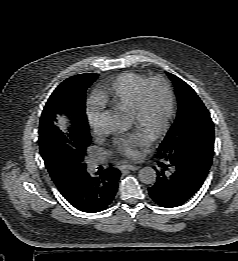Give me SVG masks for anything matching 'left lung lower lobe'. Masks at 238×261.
Masks as SVG:
<instances>
[{
	"label": "left lung lower lobe",
	"instance_id": "0a47b994",
	"mask_svg": "<svg viewBox=\"0 0 238 261\" xmlns=\"http://www.w3.org/2000/svg\"><path fill=\"white\" fill-rule=\"evenodd\" d=\"M154 185L148 189L152 200L166 208L187 202L204 183L208 170L198 164L160 162Z\"/></svg>",
	"mask_w": 238,
	"mask_h": 261
}]
</instances>
